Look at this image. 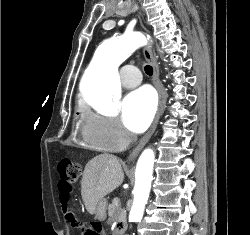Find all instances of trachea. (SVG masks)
<instances>
[{"label":"trachea","instance_id":"3493384b","mask_svg":"<svg viewBox=\"0 0 250 235\" xmlns=\"http://www.w3.org/2000/svg\"><path fill=\"white\" fill-rule=\"evenodd\" d=\"M144 70H145L146 74H148L150 76L153 74V68L150 65H146Z\"/></svg>","mask_w":250,"mask_h":235}]
</instances>
